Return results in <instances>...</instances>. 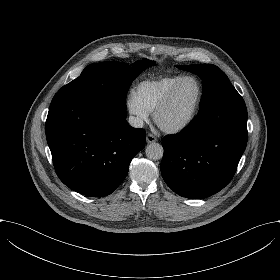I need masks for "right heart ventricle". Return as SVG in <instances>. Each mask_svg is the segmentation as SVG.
<instances>
[{
	"label": "right heart ventricle",
	"instance_id": "e07e8e85",
	"mask_svg": "<svg viewBox=\"0 0 280 280\" xmlns=\"http://www.w3.org/2000/svg\"><path fill=\"white\" fill-rule=\"evenodd\" d=\"M183 77L181 74H172L144 79L135 86L133 94L147 111L154 112Z\"/></svg>",
	"mask_w": 280,
	"mask_h": 280
}]
</instances>
